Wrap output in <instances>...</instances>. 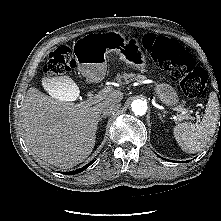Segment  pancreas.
I'll return each mask as SVG.
<instances>
[{"label": "pancreas", "mask_w": 221, "mask_h": 221, "mask_svg": "<svg viewBox=\"0 0 221 221\" xmlns=\"http://www.w3.org/2000/svg\"><path fill=\"white\" fill-rule=\"evenodd\" d=\"M145 77L143 75L134 74V73H124L123 75H117L116 80L121 83H129L135 80H143ZM181 118H190L188 114L181 115Z\"/></svg>", "instance_id": "cf45deb5"}]
</instances>
